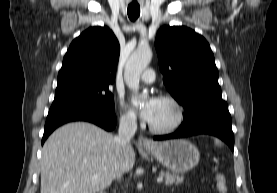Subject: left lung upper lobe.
Listing matches in <instances>:
<instances>
[{"label":"left lung upper lobe","mask_w":277,"mask_h":193,"mask_svg":"<svg viewBox=\"0 0 277 193\" xmlns=\"http://www.w3.org/2000/svg\"><path fill=\"white\" fill-rule=\"evenodd\" d=\"M155 48L163 82L184 115L202 102L222 100L214 55L201 35L184 26H165L157 33Z\"/></svg>","instance_id":"5c2ea615"}]
</instances>
